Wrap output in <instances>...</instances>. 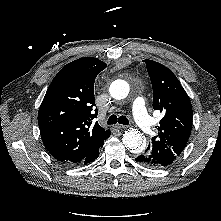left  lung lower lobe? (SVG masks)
I'll use <instances>...</instances> for the list:
<instances>
[{"label":"left lung lower lobe","instance_id":"1","mask_svg":"<svg viewBox=\"0 0 221 221\" xmlns=\"http://www.w3.org/2000/svg\"><path fill=\"white\" fill-rule=\"evenodd\" d=\"M137 162H139L142 165H145L147 167H151V168H160L159 166H157L156 164H154L152 161H150V159L146 156L139 155L136 159Z\"/></svg>","mask_w":221,"mask_h":221}]
</instances>
